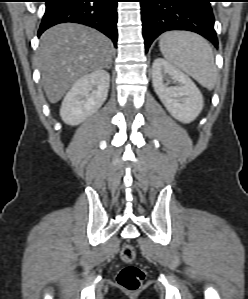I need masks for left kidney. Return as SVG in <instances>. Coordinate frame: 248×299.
<instances>
[{"mask_svg": "<svg viewBox=\"0 0 248 299\" xmlns=\"http://www.w3.org/2000/svg\"><path fill=\"white\" fill-rule=\"evenodd\" d=\"M166 81L178 83L169 86ZM153 87L168 112L183 123L196 119L203 109V96L195 83L182 71L162 58L152 66Z\"/></svg>", "mask_w": 248, "mask_h": 299, "instance_id": "left-kidney-1", "label": "left kidney"}]
</instances>
